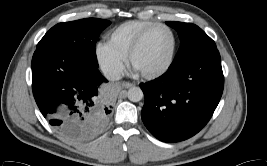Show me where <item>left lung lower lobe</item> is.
<instances>
[{
	"label": "left lung lower lobe",
	"instance_id": "obj_1",
	"mask_svg": "<svg viewBox=\"0 0 267 166\" xmlns=\"http://www.w3.org/2000/svg\"><path fill=\"white\" fill-rule=\"evenodd\" d=\"M140 87L145 95L141 116L147 129L163 142L186 140L208 123L222 96L220 54L217 48L209 49L172 63L167 72Z\"/></svg>",
	"mask_w": 267,
	"mask_h": 166
}]
</instances>
